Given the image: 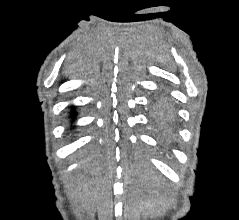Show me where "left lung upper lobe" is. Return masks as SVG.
Returning <instances> with one entry per match:
<instances>
[{
  "mask_svg": "<svg viewBox=\"0 0 239 220\" xmlns=\"http://www.w3.org/2000/svg\"><path fill=\"white\" fill-rule=\"evenodd\" d=\"M172 107L168 100H159L154 103V112L159 124H163L167 116L171 113Z\"/></svg>",
  "mask_w": 239,
  "mask_h": 220,
  "instance_id": "obj_1",
  "label": "left lung upper lobe"
}]
</instances>
